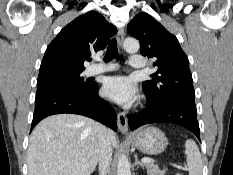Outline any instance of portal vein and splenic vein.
Returning <instances> with one entry per match:
<instances>
[{
  "label": "portal vein and splenic vein",
  "instance_id": "1",
  "mask_svg": "<svg viewBox=\"0 0 233 175\" xmlns=\"http://www.w3.org/2000/svg\"><path fill=\"white\" fill-rule=\"evenodd\" d=\"M141 161H142L143 163H145V164H147V163H153V162H154V160L151 159V158H142Z\"/></svg>",
  "mask_w": 233,
  "mask_h": 175
}]
</instances>
